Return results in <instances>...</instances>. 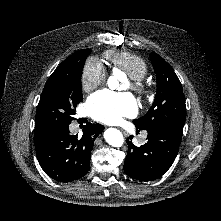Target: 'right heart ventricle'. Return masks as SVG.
Wrapping results in <instances>:
<instances>
[{
    "instance_id": "1",
    "label": "right heart ventricle",
    "mask_w": 221,
    "mask_h": 221,
    "mask_svg": "<svg viewBox=\"0 0 221 221\" xmlns=\"http://www.w3.org/2000/svg\"><path fill=\"white\" fill-rule=\"evenodd\" d=\"M113 70L126 73L130 79L143 80L148 74V65L140 56L120 50H111L105 53Z\"/></svg>"
}]
</instances>
